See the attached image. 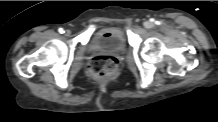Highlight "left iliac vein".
I'll return each instance as SVG.
<instances>
[{"mask_svg": "<svg viewBox=\"0 0 218 122\" xmlns=\"http://www.w3.org/2000/svg\"><path fill=\"white\" fill-rule=\"evenodd\" d=\"M152 26H153V24L151 22H149V21L144 23L145 28H151Z\"/></svg>", "mask_w": 218, "mask_h": 122, "instance_id": "obj_1", "label": "left iliac vein"}]
</instances>
